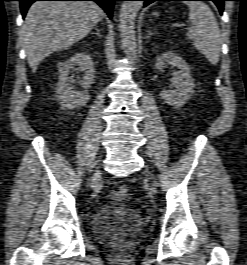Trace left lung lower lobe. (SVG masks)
<instances>
[{"label":"left lung lower lobe","mask_w":247,"mask_h":265,"mask_svg":"<svg viewBox=\"0 0 247 265\" xmlns=\"http://www.w3.org/2000/svg\"><path fill=\"white\" fill-rule=\"evenodd\" d=\"M140 1H145L144 5L147 6L150 3H153L154 1H188V0H140ZM201 1H213L217 5L220 14H222L224 10V1L228 0H201Z\"/></svg>","instance_id":"obj_1"}]
</instances>
